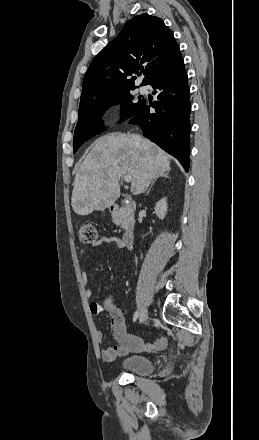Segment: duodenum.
Instances as JSON below:
<instances>
[{"instance_id": "obj_1", "label": "duodenum", "mask_w": 259, "mask_h": 440, "mask_svg": "<svg viewBox=\"0 0 259 440\" xmlns=\"http://www.w3.org/2000/svg\"><path fill=\"white\" fill-rule=\"evenodd\" d=\"M110 209L116 216L125 215L127 218H131L135 210V203L130 201L123 206L113 205ZM122 238L127 247H131L133 245L134 229L131 224L125 228Z\"/></svg>"}]
</instances>
